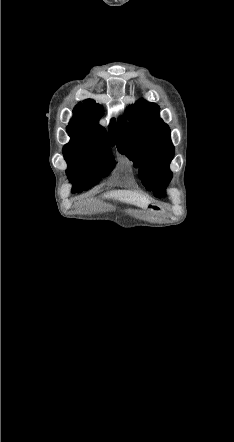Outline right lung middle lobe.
I'll return each mask as SVG.
<instances>
[{"label":"right lung middle lobe","instance_id":"dd1d6c3e","mask_svg":"<svg viewBox=\"0 0 234 442\" xmlns=\"http://www.w3.org/2000/svg\"><path fill=\"white\" fill-rule=\"evenodd\" d=\"M68 132V131H67ZM71 140L63 148L66 171L73 192L87 190L106 177L115 165L109 146H89L68 132Z\"/></svg>","mask_w":234,"mask_h":442}]
</instances>
